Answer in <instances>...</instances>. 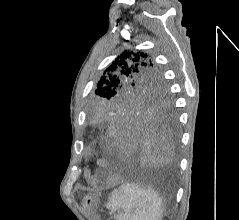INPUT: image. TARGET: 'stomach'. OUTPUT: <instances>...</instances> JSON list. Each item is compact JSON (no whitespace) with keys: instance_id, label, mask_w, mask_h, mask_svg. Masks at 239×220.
<instances>
[{"instance_id":"0dacf381","label":"stomach","mask_w":239,"mask_h":220,"mask_svg":"<svg viewBox=\"0 0 239 220\" xmlns=\"http://www.w3.org/2000/svg\"><path fill=\"white\" fill-rule=\"evenodd\" d=\"M95 205V200L89 196L84 197L83 199V207L87 211H92Z\"/></svg>"}]
</instances>
